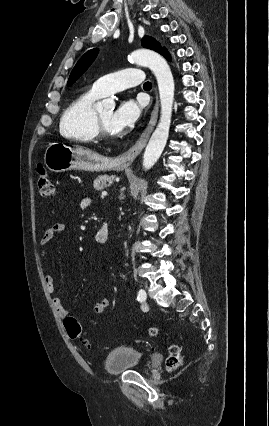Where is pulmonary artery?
Returning a JSON list of instances; mask_svg holds the SVG:
<instances>
[{
  "label": "pulmonary artery",
  "mask_w": 269,
  "mask_h": 426,
  "mask_svg": "<svg viewBox=\"0 0 269 426\" xmlns=\"http://www.w3.org/2000/svg\"><path fill=\"white\" fill-rule=\"evenodd\" d=\"M144 78L143 70L127 68L99 78L92 85V90L99 96H105L138 85Z\"/></svg>",
  "instance_id": "pulmonary-artery-1"
}]
</instances>
